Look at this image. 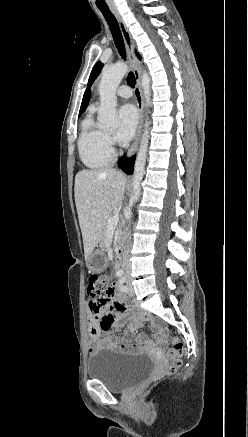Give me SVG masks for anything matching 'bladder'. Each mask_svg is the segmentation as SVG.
<instances>
[{
	"instance_id": "obj_1",
	"label": "bladder",
	"mask_w": 248,
	"mask_h": 437,
	"mask_svg": "<svg viewBox=\"0 0 248 437\" xmlns=\"http://www.w3.org/2000/svg\"><path fill=\"white\" fill-rule=\"evenodd\" d=\"M155 370V362L145 355L105 349L90 358L87 374L90 379L103 382L113 391H124L150 378Z\"/></svg>"
}]
</instances>
